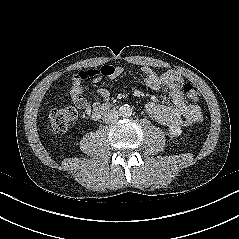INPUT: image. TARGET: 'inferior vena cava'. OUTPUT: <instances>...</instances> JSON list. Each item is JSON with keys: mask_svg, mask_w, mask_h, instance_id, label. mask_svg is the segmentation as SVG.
<instances>
[{"mask_svg": "<svg viewBox=\"0 0 239 239\" xmlns=\"http://www.w3.org/2000/svg\"><path fill=\"white\" fill-rule=\"evenodd\" d=\"M119 113L116 110H108L104 115H103V121L105 123H112L116 120H118Z\"/></svg>", "mask_w": 239, "mask_h": 239, "instance_id": "inferior-vena-cava-1", "label": "inferior vena cava"}]
</instances>
